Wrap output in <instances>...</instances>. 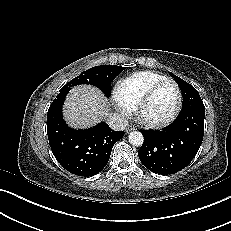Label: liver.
<instances>
[{
  "instance_id": "6515ba94",
  "label": "liver",
  "mask_w": 231,
  "mask_h": 231,
  "mask_svg": "<svg viewBox=\"0 0 231 231\" xmlns=\"http://www.w3.org/2000/svg\"><path fill=\"white\" fill-rule=\"evenodd\" d=\"M108 112L107 98L89 85L74 86L63 105L64 118L73 128L92 127L110 115Z\"/></svg>"
}]
</instances>
